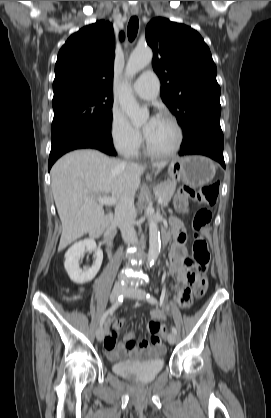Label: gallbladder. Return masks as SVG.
Here are the masks:
<instances>
[{
    "instance_id": "gallbladder-1",
    "label": "gallbladder",
    "mask_w": 271,
    "mask_h": 418,
    "mask_svg": "<svg viewBox=\"0 0 271 418\" xmlns=\"http://www.w3.org/2000/svg\"><path fill=\"white\" fill-rule=\"evenodd\" d=\"M99 229H100V228L95 229V231H94V232H97Z\"/></svg>"
}]
</instances>
